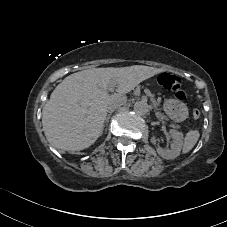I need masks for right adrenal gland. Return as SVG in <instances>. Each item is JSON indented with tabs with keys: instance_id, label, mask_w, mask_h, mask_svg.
<instances>
[{
	"instance_id": "1",
	"label": "right adrenal gland",
	"mask_w": 227,
	"mask_h": 227,
	"mask_svg": "<svg viewBox=\"0 0 227 227\" xmlns=\"http://www.w3.org/2000/svg\"><path fill=\"white\" fill-rule=\"evenodd\" d=\"M109 115L107 116V118H106V120H105V122H104V126H105V130H104V133H106L107 132V127H108V122H109ZM103 134V131L101 132V134L100 135H102Z\"/></svg>"
}]
</instances>
